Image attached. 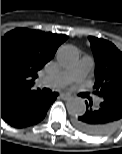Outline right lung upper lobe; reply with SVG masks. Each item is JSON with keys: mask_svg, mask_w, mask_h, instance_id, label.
I'll return each instance as SVG.
<instances>
[{"mask_svg": "<svg viewBox=\"0 0 122 154\" xmlns=\"http://www.w3.org/2000/svg\"><path fill=\"white\" fill-rule=\"evenodd\" d=\"M68 36L26 28L1 37V114L33 90L37 72L49 62Z\"/></svg>", "mask_w": 122, "mask_h": 154, "instance_id": "obj_1", "label": "right lung upper lobe"}]
</instances>
